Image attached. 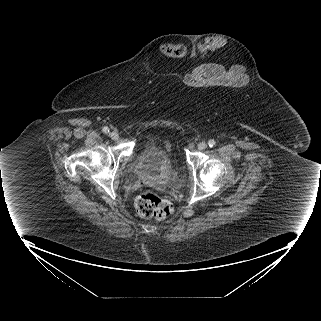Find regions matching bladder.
<instances>
[{"instance_id": "31cf9c89", "label": "bladder", "mask_w": 321, "mask_h": 321, "mask_svg": "<svg viewBox=\"0 0 321 321\" xmlns=\"http://www.w3.org/2000/svg\"><path fill=\"white\" fill-rule=\"evenodd\" d=\"M176 167L177 163L165 151L164 144L150 141L134 159L131 170L139 177L157 180L172 173Z\"/></svg>"}]
</instances>
